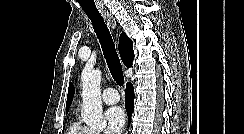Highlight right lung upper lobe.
<instances>
[{"label":"right lung upper lobe","instance_id":"cb5924a9","mask_svg":"<svg viewBox=\"0 0 244 134\" xmlns=\"http://www.w3.org/2000/svg\"><path fill=\"white\" fill-rule=\"evenodd\" d=\"M133 43L132 40L125 34L122 33L119 38V54L123 61V63L129 68L132 66V60L134 58V51H133ZM74 96V86L72 83L69 84L68 89V96L66 102V112H68L69 107L72 103Z\"/></svg>","mask_w":244,"mask_h":134}]
</instances>
